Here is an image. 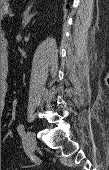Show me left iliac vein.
<instances>
[{
    "label": "left iliac vein",
    "mask_w": 109,
    "mask_h": 170,
    "mask_svg": "<svg viewBox=\"0 0 109 170\" xmlns=\"http://www.w3.org/2000/svg\"><path fill=\"white\" fill-rule=\"evenodd\" d=\"M26 142H27V154L32 155L37 147V140L35 135L31 132L28 131L26 133Z\"/></svg>",
    "instance_id": "obj_1"
}]
</instances>
